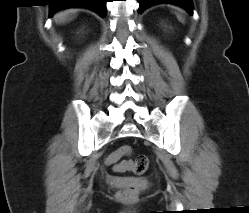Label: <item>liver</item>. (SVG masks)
I'll return each mask as SVG.
<instances>
[{"mask_svg": "<svg viewBox=\"0 0 249 213\" xmlns=\"http://www.w3.org/2000/svg\"><path fill=\"white\" fill-rule=\"evenodd\" d=\"M74 9H69L65 11H60L54 15V20L56 23L66 22L72 19V15L75 14Z\"/></svg>", "mask_w": 249, "mask_h": 213, "instance_id": "6515ba94", "label": "liver"}]
</instances>
